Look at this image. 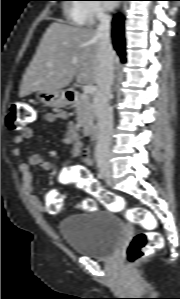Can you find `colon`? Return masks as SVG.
Segmentation results:
<instances>
[{"label": "colon", "instance_id": "5ec220e1", "mask_svg": "<svg viewBox=\"0 0 180 299\" xmlns=\"http://www.w3.org/2000/svg\"><path fill=\"white\" fill-rule=\"evenodd\" d=\"M35 108L25 102H13L8 110L6 124L10 130L27 127L35 121ZM80 188L93 198L84 199L80 207L87 212L96 210L98 203L112 211H121L125 207L124 200L114 193L102 188L100 184L87 172L78 175L75 179ZM45 208L50 214H58L63 209V200L59 193L51 191L46 195ZM129 222L140 225L145 232L135 234L126 249L125 259L128 265H134L163 246V239L153 230L156 226L154 216L144 208L133 207L127 211Z\"/></svg>", "mask_w": 180, "mask_h": 299}]
</instances>
